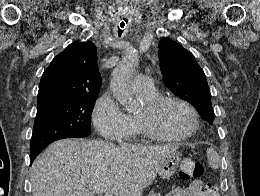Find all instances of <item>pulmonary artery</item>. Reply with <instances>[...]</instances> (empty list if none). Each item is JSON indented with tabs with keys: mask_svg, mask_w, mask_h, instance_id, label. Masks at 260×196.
<instances>
[{
	"mask_svg": "<svg viewBox=\"0 0 260 196\" xmlns=\"http://www.w3.org/2000/svg\"><path fill=\"white\" fill-rule=\"evenodd\" d=\"M151 80L149 76H140V79H135L132 82V87L135 91L147 92L151 91L153 87L151 85H140V84H150Z\"/></svg>",
	"mask_w": 260,
	"mask_h": 196,
	"instance_id": "pulmonary-artery-1",
	"label": "pulmonary artery"
}]
</instances>
